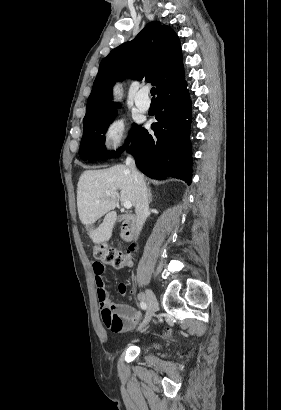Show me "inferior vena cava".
Returning <instances> with one entry per match:
<instances>
[{"instance_id": "inferior-vena-cava-1", "label": "inferior vena cava", "mask_w": 281, "mask_h": 410, "mask_svg": "<svg viewBox=\"0 0 281 410\" xmlns=\"http://www.w3.org/2000/svg\"><path fill=\"white\" fill-rule=\"evenodd\" d=\"M126 166L130 170L134 179L136 189V220L134 225V239L136 240L142 230L148 214V191L143 176L138 172L134 158L129 155L126 159Z\"/></svg>"}]
</instances>
